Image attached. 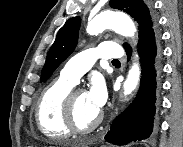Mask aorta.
I'll return each mask as SVG.
<instances>
[{
	"label": "aorta",
	"mask_w": 183,
	"mask_h": 147,
	"mask_svg": "<svg viewBox=\"0 0 183 147\" xmlns=\"http://www.w3.org/2000/svg\"><path fill=\"white\" fill-rule=\"evenodd\" d=\"M105 29H112L126 37H133L136 32L133 21L126 14L111 11L102 12L91 19L88 22L86 32L90 35H97ZM140 74L139 64L134 63L123 84L125 96L131 94L135 90L140 80Z\"/></svg>",
	"instance_id": "1"
}]
</instances>
